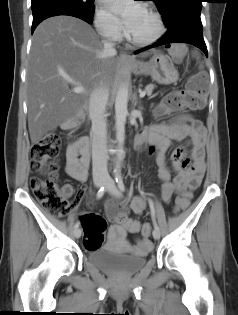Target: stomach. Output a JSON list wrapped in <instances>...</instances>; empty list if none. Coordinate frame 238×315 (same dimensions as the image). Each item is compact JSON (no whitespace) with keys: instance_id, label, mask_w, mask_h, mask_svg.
<instances>
[{"instance_id":"1","label":"stomach","mask_w":238,"mask_h":315,"mask_svg":"<svg viewBox=\"0 0 238 315\" xmlns=\"http://www.w3.org/2000/svg\"><path fill=\"white\" fill-rule=\"evenodd\" d=\"M144 65V70L138 75H150L159 84H171L178 80L179 74L168 57L161 54H154L149 61H140Z\"/></svg>"}]
</instances>
